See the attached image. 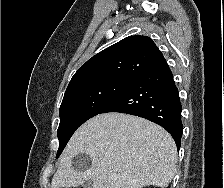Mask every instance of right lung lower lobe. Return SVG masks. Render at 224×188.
I'll return each mask as SVG.
<instances>
[{"label":"right lung lower lobe","mask_w":224,"mask_h":188,"mask_svg":"<svg viewBox=\"0 0 224 188\" xmlns=\"http://www.w3.org/2000/svg\"><path fill=\"white\" fill-rule=\"evenodd\" d=\"M120 112L148 119L166 129L179 150L183 126L179 92L166 60L153 65L98 114Z\"/></svg>","instance_id":"1"}]
</instances>
